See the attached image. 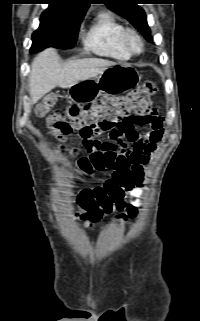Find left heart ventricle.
<instances>
[{"label":"left heart ventricle","instance_id":"1","mask_svg":"<svg viewBox=\"0 0 200 321\" xmlns=\"http://www.w3.org/2000/svg\"><path fill=\"white\" fill-rule=\"evenodd\" d=\"M129 45L131 48H133L135 50L138 49V47H139V43H138L137 39L133 36H131L129 38Z\"/></svg>","mask_w":200,"mask_h":321}]
</instances>
